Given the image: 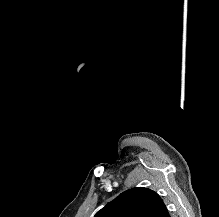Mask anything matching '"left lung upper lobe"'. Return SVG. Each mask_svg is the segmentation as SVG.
Wrapping results in <instances>:
<instances>
[{
	"instance_id": "1",
	"label": "left lung upper lobe",
	"mask_w": 219,
	"mask_h": 217,
	"mask_svg": "<svg viewBox=\"0 0 219 217\" xmlns=\"http://www.w3.org/2000/svg\"><path fill=\"white\" fill-rule=\"evenodd\" d=\"M94 217H170L161 197L148 188L136 187L121 193Z\"/></svg>"
}]
</instances>
